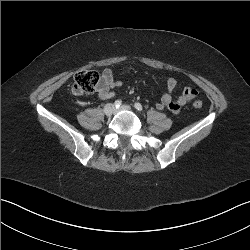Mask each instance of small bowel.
<instances>
[{
    "label": "small bowel",
    "mask_w": 250,
    "mask_h": 250,
    "mask_svg": "<svg viewBox=\"0 0 250 250\" xmlns=\"http://www.w3.org/2000/svg\"><path fill=\"white\" fill-rule=\"evenodd\" d=\"M168 92L165 93L159 102L156 104V108L159 110L168 109L173 113H179L183 106L188 104L193 98L198 95V91L192 87H185L182 93L174 98L172 91L177 85L175 78L169 77L164 80ZM122 86L121 81H117L114 78L113 71L110 68H105L102 72L101 80L98 85L96 95L100 99H109L116 95L115 89Z\"/></svg>",
    "instance_id": "c3829d8e"
}]
</instances>
